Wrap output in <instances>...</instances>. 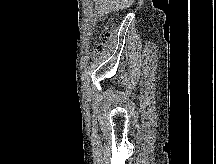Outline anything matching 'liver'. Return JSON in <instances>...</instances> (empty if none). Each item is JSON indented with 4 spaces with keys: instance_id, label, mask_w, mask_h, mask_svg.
I'll list each match as a JSON object with an SVG mask.
<instances>
[{
    "instance_id": "6515ba94",
    "label": "liver",
    "mask_w": 216,
    "mask_h": 164,
    "mask_svg": "<svg viewBox=\"0 0 216 164\" xmlns=\"http://www.w3.org/2000/svg\"><path fill=\"white\" fill-rule=\"evenodd\" d=\"M135 0H95L99 4V14L104 15L112 11L129 8Z\"/></svg>"
}]
</instances>
